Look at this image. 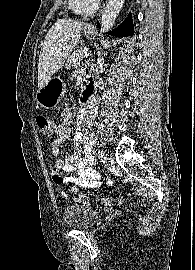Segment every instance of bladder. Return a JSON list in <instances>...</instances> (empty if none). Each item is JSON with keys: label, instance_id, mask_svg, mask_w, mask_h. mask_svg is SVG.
Masks as SVG:
<instances>
[{"label": "bladder", "instance_id": "obj_1", "mask_svg": "<svg viewBox=\"0 0 195 270\" xmlns=\"http://www.w3.org/2000/svg\"><path fill=\"white\" fill-rule=\"evenodd\" d=\"M62 217L66 226L87 230L96 224L99 213L89 205L75 204L65 207L62 211Z\"/></svg>", "mask_w": 195, "mask_h": 270}]
</instances>
